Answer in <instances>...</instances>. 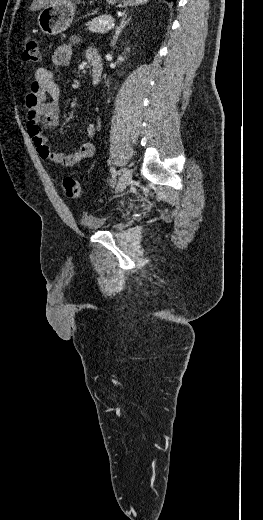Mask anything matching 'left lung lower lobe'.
<instances>
[{
	"label": "left lung lower lobe",
	"mask_w": 263,
	"mask_h": 520,
	"mask_svg": "<svg viewBox=\"0 0 263 520\" xmlns=\"http://www.w3.org/2000/svg\"><path fill=\"white\" fill-rule=\"evenodd\" d=\"M167 1H173V2H175L176 0H167Z\"/></svg>",
	"instance_id": "1"
}]
</instances>
